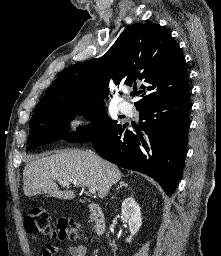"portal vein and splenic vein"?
<instances>
[{"mask_svg": "<svg viewBox=\"0 0 221 256\" xmlns=\"http://www.w3.org/2000/svg\"><path fill=\"white\" fill-rule=\"evenodd\" d=\"M59 183H60V185H62V186H69V185H70L69 182L60 181ZM89 192L92 193V194H95V193H96V189H95L94 187H90V188H89Z\"/></svg>", "mask_w": 221, "mask_h": 256, "instance_id": "obj_1", "label": "portal vein and splenic vein"}]
</instances>
